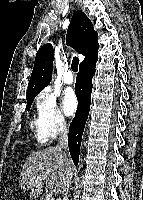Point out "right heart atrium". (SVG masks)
<instances>
[{"mask_svg":"<svg viewBox=\"0 0 143 200\" xmlns=\"http://www.w3.org/2000/svg\"><path fill=\"white\" fill-rule=\"evenodd\" d=\"M37 111L42 131L48 139L57 137L64 130L66 122L51 90L45 89L38 95Z\"/></svg>","mask_w":143,"mask_h":200,"instance_id":"1","label":"right heart atrium"}]
</instances>
